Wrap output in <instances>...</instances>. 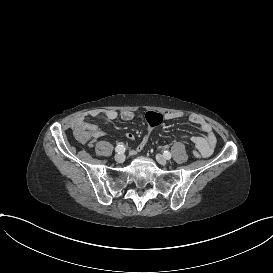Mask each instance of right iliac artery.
<instances>
[{
	"label": "right iliac artery",
	"mask_w": 273,
	"mask_h": 273,
	"mask_svg": "<svg viewBox=\"0 0 273 273\" xmlns=\"http://www.w3.org/2000/svg\"><path fill=\"white\" fill-rule=\"evenodd\" d=\"M115 151L120 153H124L125 152V147L122 144H119L116 148Z\"/></svg>",
	"instance_id": "82829eb1"
}]
</instances>
